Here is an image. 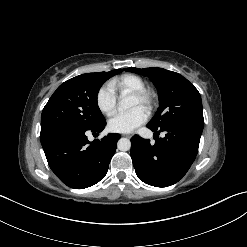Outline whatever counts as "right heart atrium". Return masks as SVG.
Segmentation results:
<instances>
[{"label": "right heart atrium", "mask_w": 247, "mask_h": 247, "mask_svg": "<svg viewBox=\"0 0 247 247\" xmlns=\"http://www.w3.org/2000/svg\"><path fill=\"white\" fill-rule=\"evenodd\" d=\"M116 103V95L110 86L106 85L98 90L96 104L104 115H112L116 109Z\"/></svg>", "instance_id": "right-heart-atrium-1"}]
</instances>
